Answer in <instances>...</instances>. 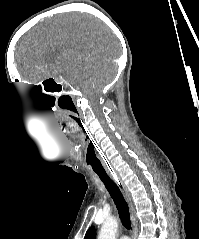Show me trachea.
Instances as JSON below:
<instances>
[{
	"label": "trachea",
	"mask_w": 199,
	"mask_h": 239,
	"mask_svg": "<svg viewBox=\"0 0 199 239\" xmlns=\"http://www.w3.org/2000/svg\"><path fill=\"white\" fill-rule=\"evenodd\" d=\"M99 178L104 183L106 189L111 195L119 213V217L123 226L130 230L131 229V221L129 215L128 205L116 183L108 176L106 173H98Z\"/></svg>",
	"instance_id": "3493384b"
}]
</instances>
